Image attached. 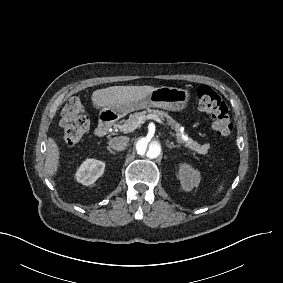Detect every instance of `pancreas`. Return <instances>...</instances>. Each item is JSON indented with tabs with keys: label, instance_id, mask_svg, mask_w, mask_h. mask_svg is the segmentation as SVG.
<instances>
[{
	"label": "pancreas",
	"instance_id": "1",
	"mask_svg": "<svg viewBox=\"0 0 283 283\" xmlns=\"http://www.w3.org/2000/svg\"><path fill=\"white\" fill-rule=\"evenodd\" d=\"M149 115H155L163 121H167L168 124L176 129V134L179 135L177 141L181 142L183 147H186L190 150L196 151L198 154H202L205 157H209L208 150L211 148L209 144L200 146L196 141L190 138L188 141H185L180 134V123H178L174 118L170 117L166 112L160 110H150L148 112H139L134 115H130L129 119L124 122H120L122 125V129L124 131H129L132 126H134L139 121H142L144 118L148 117Z\"/></svg>",
	"mask_w": 283,
	"mask_h": 283
}]
</instances>
